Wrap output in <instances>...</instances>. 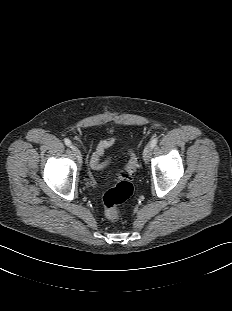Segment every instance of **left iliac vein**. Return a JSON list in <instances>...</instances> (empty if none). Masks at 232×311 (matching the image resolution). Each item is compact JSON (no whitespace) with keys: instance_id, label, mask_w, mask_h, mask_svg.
I'll use <instances>...</instances> for the list:
<instances>
[{"instance_id":"left-iliac-vein-1","label":"left iliac vein","mask_w":232,"mask_h":311,"mask_svg":"<svg viewBox=\"0 0 232 311\" xmlns=\"http://www.w3.org/2000/svg\"><path fill=\"white\" fill-rule=\"evenodd\" d=\"M151 152H152V147L150 145H147L143 151V158H144L145 163H148L150 161Z\"/></svg>"}]
</instances>
